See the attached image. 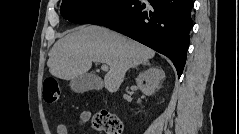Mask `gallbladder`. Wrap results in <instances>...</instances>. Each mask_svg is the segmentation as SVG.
Returning a JSON list of instances; mask_svg holds the SVG:
<instances>
[{
    "mask_svg": "<svg viewBox=\"0 0 239 134\" xmlns=\"http://www.w3.org/2000/svg\"><path fill=\"white\" fill-rule=\"evenodd\" d=\"M70 87L77 93H83L89 90H98L102 88L101 80L93 74H83L70 81Z\"/></svg>",
    "mask_w": 239,
    "mask_h": 134,
    "instance_id": "1",
    "label": "gallbladder"
}]
</instances>
